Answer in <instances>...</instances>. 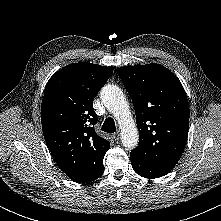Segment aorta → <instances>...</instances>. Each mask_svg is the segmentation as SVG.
<instances>
[{
    "label": "aorta",
    "mask_w": 221,
    "mask_h": 221,
    "mask_svg": "<svg viewBox=\"0 0 221 221\" xmlns=\"http://www.w3.org/2000/svg\"><path fill=\"white\" fill-rule=\"evenodd\" d=\"M105 107L116 118L124 147L133 149L139 142V134L123 91L116 85H105L100 92Z\"/></svg>",
    "instance_id": "obj_1"
}]
</instances>
